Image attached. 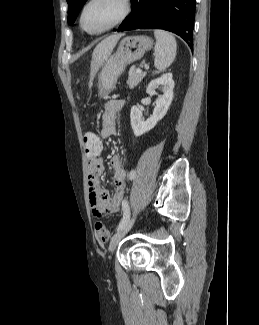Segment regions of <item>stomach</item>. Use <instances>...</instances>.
Listing matches in <instances>:
<instances>
[{"instance_id":"stomach-1","label":"stomach","mask_w":259,"mask_h":325,"mask_svg":"<svg viewBox=\"0 0 259 325\" xmlns=\"http://www.w3.org/2000/svg\"><path fill=\"white\" fill-rule=\"evenodd\" d=\"M152 47L153 40L144 35L128 36L122 39L117 51L103 63L98 77L99 94L101 96L110 94L125 67L141 59Z\"/></svg>"}]
</instances>
